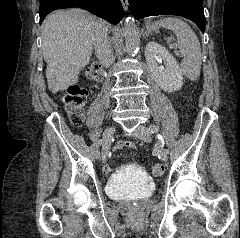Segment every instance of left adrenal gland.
I'll list each match as a JSON object with an SVG mask.
<instances>
[{
    "label": "left adrenal gland",
    "mask_w": 240,
    "mask_h": 238,
    "mask_svg": "<svg viewBox=\"0 0 240 238\" xmlns=\"http://www.w3.org/2000/svg\"><path fill=\"white\" fill-rule=\"evenodd\" d=\"M149 34H151V32H150V31H146V32H145V37H148Z\"/></svg>",
    "instance_id": "1"
}]
</instances>
